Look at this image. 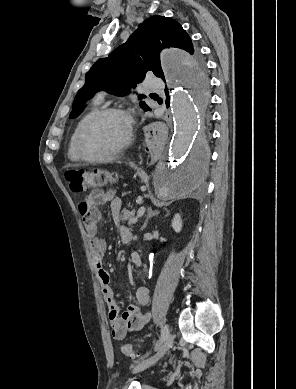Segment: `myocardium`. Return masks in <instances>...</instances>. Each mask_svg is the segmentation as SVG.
Masks as SVG:
<instances>
[{"mask_svg":"<svg viewBox=\"0 0 296 389\" xmlns=\"http://www.w3.org/2000/svg\"><path fill=\"white\" fill-rule=\"evenodd\" d=\"M111 114L120 115V116L124 117L127 121V134H126L124 141L120 145H118L115 149L111 150L110 152H108L104 155H100V156H96V157L89 156L85 152V148H84V138H85L86 132L92 126V124L95 123L97 120H99L100 118H102L106 115H111ZM133 139H134V121H133L132 116L126 110H124L122 108L106 107V108H102V109L97 110L94 114H92L82 124V126L79 129L78 135H77L76 150H77V153H78L80 159H82L86 162H90V163L103 162V161L112 159L114 157H117L118 155L123 153L131 145V143L133 142Z\"/></svg>","mask_w":296,"mask_h":389,"instance_id":"obj_1","label":"myocardium"}]
</instances>
